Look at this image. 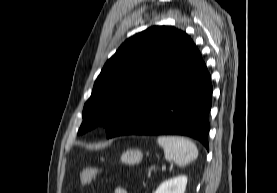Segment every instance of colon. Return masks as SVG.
I'll return each mask as SVG.
<instances>
[{"instance_id": "colon-1", "label": "colon", "mask_w": 277, "mask_h": 193, "mask_svg": "<svg viewBox=\"0 0 277 193\" xmlns=\"http://www.w3.org/2000/svg\"><path fill=\"white\" fill-rule=\"evenodd\" d=\"M98 175L99 171L96 169H84L80 175V182L82 185H88L95 181Z\"/></svg>"}]
</instances>
